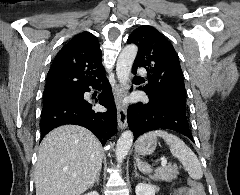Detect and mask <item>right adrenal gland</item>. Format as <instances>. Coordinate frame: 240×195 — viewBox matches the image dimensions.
I'll use <instances>...</instances> for the list:
<instances>
[{
	"mask_svg": "<svg viewBox=\"0 0 240 195\" xmlns=\"http://www.w3.org/2000/svg\"><path fill=\"white\" fill-rule=\"evenodd\" d=\"M99 179H100V171H99V173H97L93 183H91V187H93V185H95V183H97V185H99Z\"/></svg>",
	"mask_w": 240,
	"mask_h": 195,
	"instance_id": "right-adrenal-gland-1",
	"label": "right adrenal gland"
}]
</instances>
